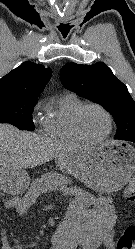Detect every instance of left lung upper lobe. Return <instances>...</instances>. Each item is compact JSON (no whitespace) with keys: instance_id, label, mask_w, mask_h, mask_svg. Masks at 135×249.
I'll list each match as a JSON object with an SVG mask.
<instances>
[{"instance_id":"left-lung-upper-lobe-1","label":"left lung upper lobe","mask_w":135,"mask_h":249,"mask_svg":"<svg viewBox=\"0 0 135 249\" xmlns=\"http://www.w3.org/2000/svg\"><path fill=\"white\" fill-rule=\"evenodd\" d=\"M64 87L102 105L117 125L115 139H135V102L127 87L102 62L92 65L68 63L60 72Z\"/></svg>"}]
</instances>
